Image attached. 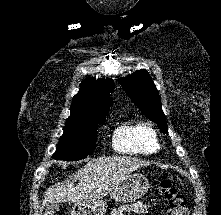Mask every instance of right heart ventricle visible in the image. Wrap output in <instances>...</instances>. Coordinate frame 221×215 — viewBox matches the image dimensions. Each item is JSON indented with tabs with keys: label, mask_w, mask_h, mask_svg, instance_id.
I'll return each mask as SVG.
<instances>
[{
	"label": "right heart ventricle",
	"mask_w": 221,
	"mask_h": 215,
	"mask_svg": "<svg viewBox=\"0 0 221 215\" xmlns=\"http://www.w3.org/2000/svg\"><path fill=\"white\" fill-rule=\"evenodd\" d=\"M113 146L122 153H155L159 142L153 127L145 122H126L114 132Z\"/></svg>",
	"instance_id": "e07e8e85"
}]
</instances>
